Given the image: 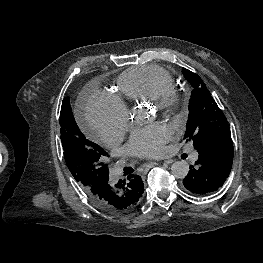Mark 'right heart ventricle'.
Wrapping results in <instances>:
<instances>
[{"mask_svg":"<svg viewBox=\"0 0 263 263\" xmlns=\"http://www.w3.org/2000/svg\"><path fill=\"white\" fill-rule=\"evenodd\" d=\"M116 99L128 109L130 104L151 100L161 90L174 88L172 77L156 65L133 66L116 79Z\"/></svg>","mask_w":263,"mask_h":263,"instance_id":"1","label":"right heart ventricle"}]
</instances>
